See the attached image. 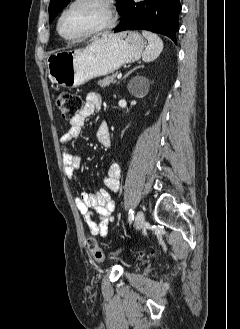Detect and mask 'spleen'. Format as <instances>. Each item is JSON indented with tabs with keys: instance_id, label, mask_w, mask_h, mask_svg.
Returning <instances> with one entry per match:
<instances>
[{
	"instance_id": "3e777b00",
	"label": "spleen",
	"mask_w": 240,
	"mask_h": 329,
	"mask_svg": "<svg viewBox=\"0 0 240 329\" xmlns=\"http://www.w3.org/2000/svg\"><path fill=\"white\" fill-rule=\"evenodd\" d=\"M143 36L148 40L149 45L145 48L142 60L144 62H151L155 60L163 50V41L155 33L149 31H142Z\"/></svg>"
}]
</instances>
